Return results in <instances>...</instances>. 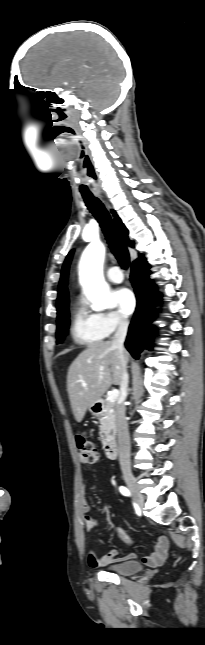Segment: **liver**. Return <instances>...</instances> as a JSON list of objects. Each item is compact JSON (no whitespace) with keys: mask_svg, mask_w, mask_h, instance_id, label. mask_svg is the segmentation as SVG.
<instances>
[{"mask_svg":"<svg viewBox=\"0 0 205 645\" xmlns=\"http://www.w3.org/2000/svg\"><path fill=\"white\" fill-rule=\"evenodd\" d=\"M124 358L128 361L127 353ZM121 377V354L112 342H96L81 352L67 374V391L75 420L80 423L87 409L111 385H120Z\"/></svg>","mask_w":205,"mask_h":645,"instance_id":"liver-1","label":"liver"}]
</instances>
